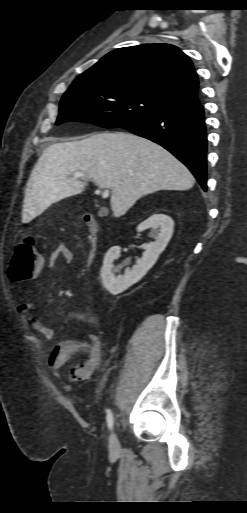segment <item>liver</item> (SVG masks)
I'll return each mask as SVG.
<instances>
[{
    "label": "liver",
    "mask_w": 247,
    "mask_h": 513,
    "mask_svg": "<svg viewBox=\"0 0 247 513\" xmlns=\"http://www.w3.org/2000/svg\"><path fill=\"white\" fill-rule=\"evenodd\" d=\"M75 172L111 190L115 217L144 195L189 190L195 182L182 162L151 140L126 132L93 133L43 151L25 191L24 215L36 217L52 203L82 193L85 183L71 177Z\"/></svg>",
    "instance_id": "1"
}]
</instances>
